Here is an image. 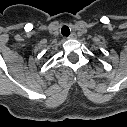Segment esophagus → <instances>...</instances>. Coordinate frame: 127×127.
I'll return each instance as SVG.
<instances>
[{"mask_svg": "<svg viewBox=\"0 0 127 127\" xmlns=\"http://www.w3.org/2000/svg\"><path fill=\"white\" fill-rule=\"evenodd\" d=\"M76 38V33H74V32H72L70 35H69V37H68V39H75Z\"/></svg>", "mask_w": 127, "mask_h": 127, "instance_id": "esophagus-1", "label": "esophagus"}]
</instances>
